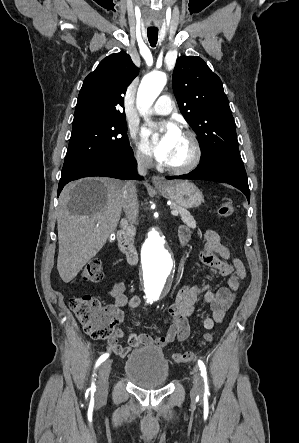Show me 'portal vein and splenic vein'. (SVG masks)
<instances>
[{
  "mask_svg": "<svg viewBox=\"0 0 299 443\" xmlns=\"http://www.w3.org/2000/svg\"><path fill=\"white\" fill-rule=\"evenodd\" d=\"M171 214H172L173 216H178V215H179V212L176 211V210H172V211H171Z\"/></svg>",
  "mask_w": 299,
  "mask_h": 443,
  "instance_id": "18ae733b",
  "label": "portal vein and splenic vein"
}]
</instances>
